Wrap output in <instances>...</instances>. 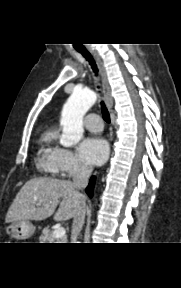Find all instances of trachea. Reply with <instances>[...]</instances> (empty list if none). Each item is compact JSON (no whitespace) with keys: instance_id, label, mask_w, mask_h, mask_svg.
Instances as JSON below:
<instances>
[{"instance_id":"obj_1","label":"trachea","mask_w":181,"mask_h":288,"mask_svg":"<svg viewBox=\"0 0 181 288\" xmlns=\"http://www.w3.org/2000/svg\"><path fill=\"white\" fill-rule=\"evenodd\" d=\"M79 53H81L83 55V57L86 58V60L89 62V64L91 65L93 71L95 74L98 73V69H97V66L95 64V61L93 60L92 56L90 55V53L84 49V48H77L76 49ZM101 109H102V116H103V119L107 122V123H110V115H109V112L104 104V102L102 101L101 102Z\"/></svg>"}]
</instances>
